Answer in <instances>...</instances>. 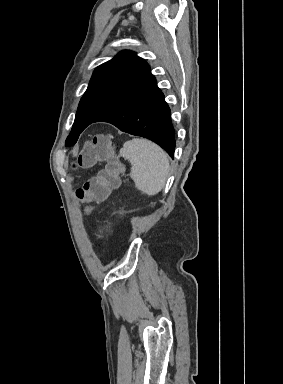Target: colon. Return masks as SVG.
<instances>
[{
	"label": "colon",
	"instance_id": "colon-1",
	"mask_svg": "<svg viewBox=\"0 0 283 384\" xmlns=\"http://www.w3.org/2000/svg\"><path fill=\"white\" fill-rule=\"evenodd\" d=\"M114 154L110 139L102 133L94 135L85 145L78 156V166L90 167L101 161H107V166L97 176L88 179L76 191L80 201H104L111 190L119 186L121 166Z\"/></svg>",
	"mask_w": 283,
	"mask_h": 384
}]
</instances>
